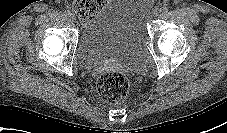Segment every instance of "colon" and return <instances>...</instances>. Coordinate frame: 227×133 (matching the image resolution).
<instances>
[{"mask_svg": "<svg viewBox=\"0 0 227 133\" xmlns=\"http://www.w3.org/2000/svg\"><path fill=\"white\" fill-rule=\"evenodd\" d=\"M106 0H74L73 9L82 19L94 16L105 4ZM96 88L99 95L111 103L123 102L130 91L128 78L116 71H106L98 75Z\"/></svg>", "mask_w": 227, "mask_h": 133, "instance_id": "1", "label": "colon"}]
</instances>
